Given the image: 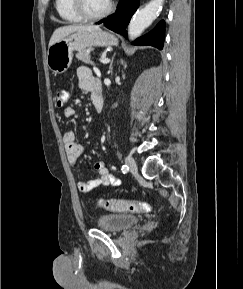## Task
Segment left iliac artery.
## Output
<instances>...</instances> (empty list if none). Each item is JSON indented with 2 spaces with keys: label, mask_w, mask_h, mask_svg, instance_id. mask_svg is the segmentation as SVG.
<instances>
[{
  "label": "left iliac artery",
  "mask_w": 243,
  "mask_h": 289,
  "mask_svg": "<svg viewBox=\"0 0 243 289\" xmlns=\"http://www.w3.org/2000/svg\"><path fill=\"white\" fill-rule=\"evenodd\" d=\"M121 170L123 173H126L127 171H129V167L127 165H123Z\"/></svg>",
  "instance_id": "44dca946"
}]
</instances>
